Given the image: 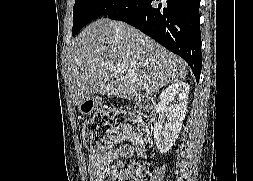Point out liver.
Instances as JSON below:
<instances>
[{
    "mask_svg": "<svg viewBox=\"0 0 253 181\" xmlns=\"http://www.w3.org/2000/svg\"><path fill=\"white\" fill-rule=\"evenodd\" d=\"M119 65L135 76L120 74ZM68 72L76 106L97 93L137 101L187 75L180 57L134 27L107 18L91 23L73 40Z\"/></svg>",
    "mask_w": 253,
    "mask_h": 181,
    "instance_id": "liver-1",
    "label": "liver"
}]
</instances>
